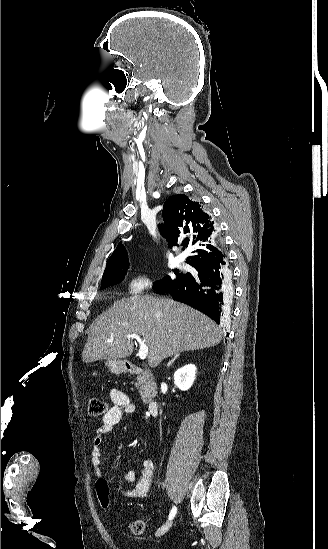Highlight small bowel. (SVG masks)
I'll return each instance as SVG.
<instances>
[{
  "instance_id": "obj_1",
  "label": "small bowel",
  "mask_w": 328,
  "mask_h": 549,
  "mask_svg": "<svg viewBox=\"0 0 328 549\" xmlns=\"http://www.w3.org/2000/svg\"><path fill=\"white\" fill-rule=\"evenodd\" d=\"M110 399L113 405L104 415L102 424L95 431L92 440L91 463L97 476L101 475V445L105 436L121 422L124 416L133 413L135 410V406L128 395L119 389H111ZM141 464L142 471L137 480L134 470H128L120 475L112 477V483L121 494L130 498L139 499L147 498L149 496L154 481V464L149 459H143ZM129 483H133L129 488L122 487L124 484Z\"/></svg>"
}]
</instances>
